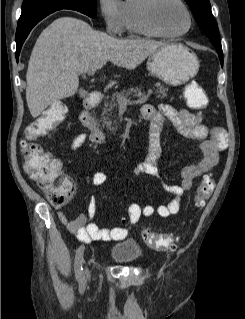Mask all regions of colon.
Segmentation results:
<instances>
[{
  "instance_id": "colon-1",
  "label": "colon",
  "mask_w": 245,
  "mask_h": 319,
  "mask_svg": "<svg viewBox=\"0 0 245 319\" xmlns=\"http://www.w3.org/2000/svg\"><path fill=\"white\" fill-rule=\"evenodd\" d=\"M184 96L191 109L203 110L209 105L206 92L195 82H189L186 85ZM66 115L67 110L64 106L50 107L29 125L26 130V138L21 142L25 171L36 186L45 193L48 201L58 208L64 207L71 199L75 184L73 179L63 172L60 160L44 151L36 143V139L59 126L65 120ZM213 188L212 175H204L197 189V205L199 207L204 206ZM140 232L144 241L152 248L170 251L176 249L175 239L170 234L157 233L147 227H142Z\"/></svg>"
}]
</instances>
